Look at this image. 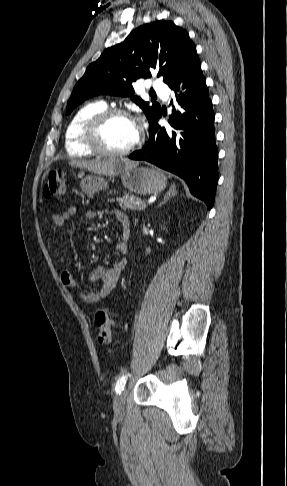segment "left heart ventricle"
Wrapping results in <instances>:
<instances>
[{"instance_id":"obj_1","label":"left heart ventricle","mask_w":287,"mask_h":486,"mask_svg":"<svg viewBox=\"0 0 287 486\" xmlns=\"http://www.w3.org/2000/svg\"><path fill=\"white\" fill-rule=\"evenodd\" d=\"M137 136V127L129 119L112 118L101 132L103 145L110 150H121L129 146Z\"/></svg>"}]
</instances>
